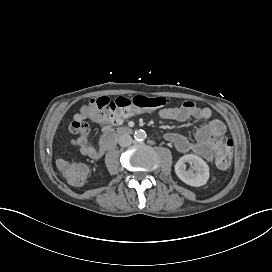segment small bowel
<instances>
[{"label": "small bowel", "instance_id": "1", "mask_svg": "<svg viewBox=\"0 0 272 272\" xmlns=\"http://www.w3.org/2000/svg\"><path fill=\"white\" fill-rule=\"evenodd\" d=\"M157 115L162 119L178 122L187 121L189 119H194L198 122H207L197 128L194 140L187 134L182 133H167L165 137L180 153L193 152L208 161L214 159L215 146L209 143L208 136L213 131H218L224 136L226 127L221 120L212 119V110L210 108L199 107L193 101L187 100L180 105L162 108L157 112ZM89 119L99 123H106L103 120V116L95 115L92 111L89 115ZM78 149L83 156L89 159L100 160L102 158V152L91 143L83 144L81 147H78Z\"/></svg>", "mask_w": 272, "mask_h": 272}]
</instances>
